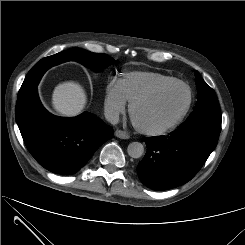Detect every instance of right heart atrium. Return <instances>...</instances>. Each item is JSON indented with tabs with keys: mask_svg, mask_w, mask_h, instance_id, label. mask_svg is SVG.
<instances>
[{
	"mask_svg": "<svg viewBox=\"0 0 245 245\" xmlns=\"http://www.w3.org/2000/svg\"><path fill=\"white\" fill-rule=\"evenodd\" d=\"M104 113L106 117L115 122L126 112L127 101L124 98L119 81H110L107 83L103 97Z\"/></svg>",
	"mask_w": 245,
	"mask_h": 245,
	"instance_id": "right-heart-atrium-1",
	"label": "right heart atrium"
}]
</instances>
